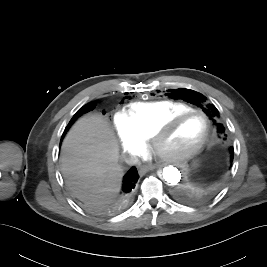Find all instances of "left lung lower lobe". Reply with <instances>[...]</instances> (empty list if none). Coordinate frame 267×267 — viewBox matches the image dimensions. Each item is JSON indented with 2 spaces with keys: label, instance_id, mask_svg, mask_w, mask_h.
<instances>
[{
  "label": "left lung lower lobe",
  "instance_id": "left-lung-lower-lobe-1",
  "mask_svg": "<svg viewBox=\"0 0 267 267\" xmlns=\"http://www.w3.org/2000/svg\"><path fill=\"white\" fill-rule=\"evenodd\" d=\"M234 157V149L228 145H221L214 151L201 152L197 161L189 165V172L201 183H208L219 175H225L230 170Z\"/></svg>",
  "mask_w": 267,
  "mask_h": 267
}]
</instances>
